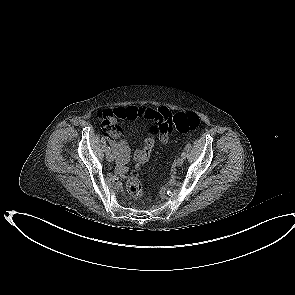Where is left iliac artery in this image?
Wrapping results in <instances>:
<instances>
[{
  "label": "left iliac artery",
  "mask_w": 295,
  "mask_h": 295,
  "mask_svg": "<svg viewBox=\"0 0 295 295\" xmlns=\"http://www.w3.org/2000/svg\"><path fill=\"white\" fill-rule=\"evenodd\" d=\"M181 157L186 158V152L183 151V152L181 153Z\"/></svg>",
  "instance_id": "obj_1"
}]
</instances>
